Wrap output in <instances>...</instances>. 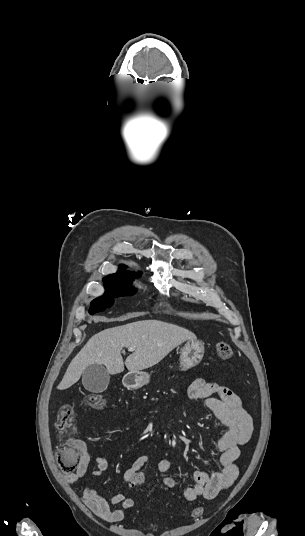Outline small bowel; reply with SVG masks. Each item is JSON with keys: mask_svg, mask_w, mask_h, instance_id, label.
I'll return each mask as SVG.
<instances>
[{"mask_svg": "<svg viewBox=\"0 0 305 536\" xmlns=\"http://www.w3.org/2000/svg\"><path fill=\"white\" fill-rule=\"evenodd\" d=\"M188 397L191 400H203L227 428L226 432L216 440V445L221 451L220 470L212 475L204 471L195 472L193 486L185 489L182 494L183 498L189 501H195L198 498L212 500L228 489L237 479L239 472L235 461L240 456L241 447L247 444L252 436L253 422L240 398L225 386L197 378L188 388ZM77 445L81 449V456L76 470L66 476L67 482L73 486H81L84 503L98 518L110 523L121 521L125 512L134 506V500L122 493L116 494L112 502L119 505V508L112 509L103 496L91 487L82 485L81 478L87 471L91 457L83 442L78 441ZM148 460L147 456H140L124 472V482L127 486L132 487L133 470L143 469ZM95 465L93 474L101 475L108 470L109 462L105 456H99L95 458ZM156 467L160 473L165 474L164 484L173 487L176 480L170 474L171 460L165 457L159 458Z\"/></svg>", "mask_w": 305, "mask_h": 536, "instance_id": "obj_1", "label": "small bowel"}]
</instances>
